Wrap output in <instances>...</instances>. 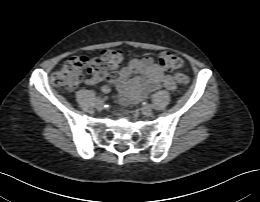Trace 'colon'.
I'll list each match as a JSON object with an SVG mask.
<instances>
[{
    "label": "colon",
    "instance_id": "obj_1",
    "mask_svg": "<svg viewBox=\"0 0 260 202\" xmlns=\"http://www.w3.org/2000/svg\"><path fill=\"white\" fill-rule=\"evenodd\" d=\"M125 59L122 49H109L103 52L101 58L93 56H75L65 62V64L51 76V83L54 86L66 90L76 87L85 75H92L95 71H103L109 68L119 67ZM159 65L170 71L179 69L182 59L171 53L161 52L158 56ZM175 80L181 85H188L190 78L183 73H176Z\"/></svg>",
    "mask_w": 260,
    "mask_h": 202
}]
</instances>
